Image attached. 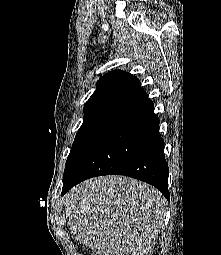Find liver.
Returning <instances> with one entry per match:
<instances>
[{
    "label": "liver",
    "instance_id": "6515ba94",
    "mask_svg": "<svg viewBox=\"0 0 221 255\" xmlns=\"http://www.w3.org/2000/svg\"><path fill=\"white\" fill-rule=\"evenodd\" d=\"M74 238L99 255H151L166 215V199L147 183L101 176L64 196Z\"/></svg>",
    "mask_w": 221,
    "mask_h": 255
}]
</instances>
